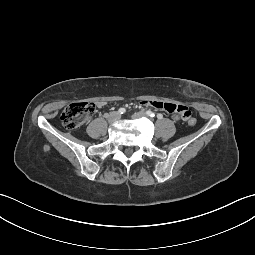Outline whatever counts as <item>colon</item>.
I'll return each instance as SVG.
<instances>
[{
    "label": "colon",
    "instance_id": "1",
    "mask_svg": "<svg viewBox=\"0 0 255 255\" xmlns=\"http://www.w3.org/2000/svg\"><path fill=\"white\" fill-rule=\"evenodd\" d=\"M95 110L96 107L93 103H71L62 112V123L68 129H78L95 113ZM184 121H186L191 126L196 124V118L191 115L187 120Z\"/></svg>",
    "mask_w": 255,
    "mask_h": 255
}]
</instances>
